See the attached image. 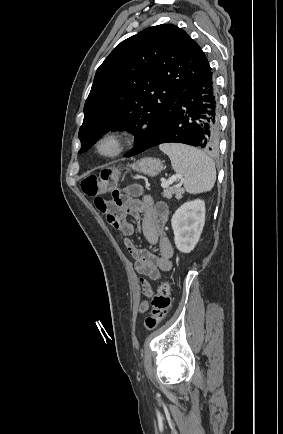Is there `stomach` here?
<instances>
[{"mask_svg": "<svg viewBox=\"0 0 283 434\" xmlns=\"http://www.w3.org/2000/svg\"><path fill=\"white\" fill-rule=\"evenodd\" d=\"M132 169L148 176H156L162 170L160 159L146 157L131 165Z\"/></svg>", "mask_w": 283, "mask_h": 434, "instance_id": "stomach-1", "label": "stomach"}]
</instances>
